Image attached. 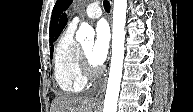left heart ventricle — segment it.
Returning <instances> with one entry per match:
<instances>
[{
	"mask_svg": "<svg viewBox=\"0 0 193 112\" xmlns=\"http://www.w3.org/2000/svg\"><path fill=\"white\" fill-rule=\"evenodd\" d=\"M92 47H93V43L92 42H89V43H86V44L82 45V48H83L85 54L87 55L89 61L92 63V65L95 66V64L91 60V50H92Z\"/></svg>",
	"mask_w": 193,
	"mask_h": 112,
	"instance_id": "1",
	"label": "left heart ventricle"
}]
</instances>
